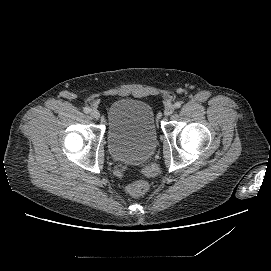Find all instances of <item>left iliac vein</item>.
I'll list each match as a JSON object with an SVG mask.
<instances>
[{
  "mask_svg": "<svg viewBox=\"0 0 271 271\" xmlns=\"http://www.w3.org/2000/svg\"><path fill=\"white\" fill-rule=\"evenodd\" d=\"M175 110V107L173 105H168L164 110V115L169 116L171 115Z\"/></svg>",
  "mask_w": 271,
  "mask_h": 271,
  "instance_id": "left-iliac-vein-1",
  "label": "left iliac vein"
}]
</instances>
